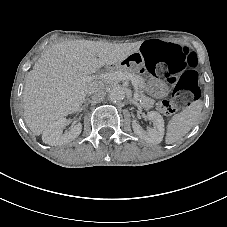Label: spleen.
Instances as JSON below:
<instances>
[{"mask_svg":"<svg viewBox=\"0 0 227 227\" xmlns=\"http://www.w3.org/2000/svg\"><path fill=\"white\" fill-rule=\"evenodd\" d=\"M201 110V102L196 101L181 113L174 115L167 125L166 144H173L184 137L197 123Z\"/></svg>","mask_w":227,"mask_h":227,"instance_id":"obj_1","label":"spleen"}]
</instances>
